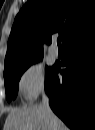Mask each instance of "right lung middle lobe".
<instances>
[{"label": "right lung middle lobe", "mask_w": 95, "mask_h": 130, "mask_svg": "<svg viewBox=\"0 0 95 130\" xmlns=\"http://www.w3.org/2000/svg\"><path fill=\"white\" fill-rule=\"evenodd\" d=\"M35 62L36 61L17 68L4 70L5 91H6V98L8 101L15 99L18 92V82L20 80L21 75L31 64ZM52 70L53 68L46 67L45 82L52 73Z\"/></svg>", "instance_id": "obj_1"}]
</instances>
